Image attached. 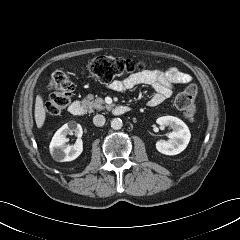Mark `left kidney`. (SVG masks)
Segmentation results:
<instances>
[{"mask_svg": "<svg viewBox=\"0 0 240 240\" xmlns=\"http://www.w3.org/2000/svg\"><path fill=\"white\" fill-rule=\"evenodd\" d=\"M161 127L170 126L173 131L169 133L168 141H158L156 149L165 155H177L184 151L190 141L191 134L188 126L174 116H162L156 120Z\"/></svg>", "mask_w": 240, "mask_h": 240, "instance_id": "1", "label": "left kidney"}]
</instances>
